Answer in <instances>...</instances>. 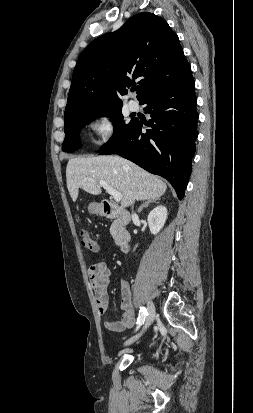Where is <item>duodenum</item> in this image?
I'll list each match as a JSON object with an SVG mask.
<instances>
[{"instance_id": "1", "label": "duodenum", "mask_w": 253, "mask_h": 413, "mask_svg": "<svg viewBox=\"0 0 253 413\" xmlns=\"http://www.w3.org/2000/svg\"><path fill=\"white\" fill-rule=\"evenodd\" d=\"M100 208L105 217L115 220V244L121 249L122 252H127L129 249L130 234L126 230L125 226L130 221L129 213L125 209L109 201H103Z\"/></svg>"}]
</instances>
